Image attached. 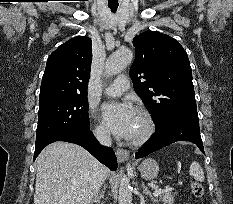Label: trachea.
Segmentation results:
<instances>
[{
	"mask_svg": "<svg viewBox=\"0 0 233 204\" xmlns=\"http://www.w3.org/2000/svg\"><path fill=\"white\" fill-rule=\"evenodd\" d=\"M108 7L113 13H115L117 11L118 5H108Z\"/></svg>",
	"mask_w": 233,
	"mask_h": 204,
	"instance_id": "1",
	"label": "trachea"
}]
</instances>
